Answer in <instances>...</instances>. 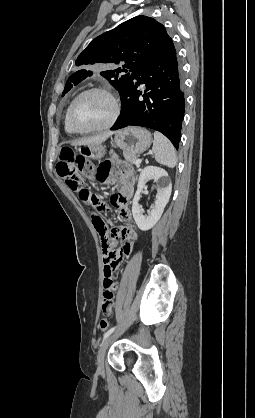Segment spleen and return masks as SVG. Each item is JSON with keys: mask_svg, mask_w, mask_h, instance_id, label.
<instances>
[{"mask_svg": "<svg viewBox=\"0 0 255 418\" xmlns=\"http://www.w3.org/2000/svg\"><path fill=\"white\" fill-rule=\"evenodd\" d=\"M155 160L169 168H174L177 164V156L172 143L160 132H154L152 147Z\"/></svg>", "mask_w": 255, "mask_h": 418, "instance_id": "obj_1", "label": "spleen"}]
</instances>
